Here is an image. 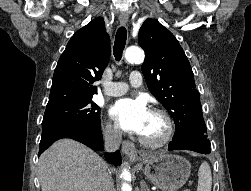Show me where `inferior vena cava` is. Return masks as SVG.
I'll return each mask as SVG.
<instances>
[{
	"instance_id": "obj_1",
	"label": "inferior vena cava",
	"mask_w": 251,
	"mask_h": 191,
	"mask_svg": "<svg viewBox=\"0 0 251 191\" xmlns=\"http://www.w3.org/2000/svg\"><path fill=\"white\" fill-rule=\"evenodd\" d=\"M122 133L120 127H105L103 131L104 135V147L106 151H116L122 141ZM113 183L110 175H103L102 187L100 191H113Z\"/></svg>"
}]
</instances>
